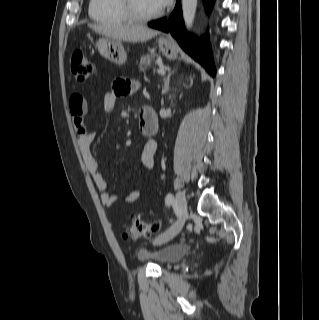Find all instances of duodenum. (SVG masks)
Instances as JSON below:
<instances>
[{"mask_svg":"<svg viewBox=\"0 0 319 320\" xmlns=\"http://www.w3.org/2000/svg\"><path fill=\"white\" fill-rule=\"evenodd\" d=\"M139 128L145 135H153L159 130L156 111L151 107H144L139 114Z\"/></svg>","mask_w":319,"mask_h":320,"instance_id":"410a0bca","label":"duodenum"}]
</instances>
